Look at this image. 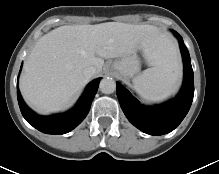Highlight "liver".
<instances>
[{"mask_svg": "<svg viewBox=\"0 0 219 174\" xmlns=\"http://www.w3.org/2000/svg\"><path fill=\"white\" fill-rule=\"evenodd\" d=\"M140 49L148 63L156 64L167 52L176 54L170 40L150 25L106 22L96 25H67L42 36L24 63L20 90L39 113L62 110L87 83L83 70L102 71L104 59L123 57Z\"/></svg>", "mask_w": 219, "mask_h": 174, "instance_id": "6515ba94", "label": "liver"}]
</instances>
